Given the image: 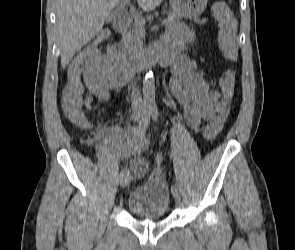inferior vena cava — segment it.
Returning <instances> with one entry per match:
<instances>
[{"instance_id": "inferior-vena-cava-1", "label": "inferior vena cava", "mask_w": 295, "mask_h": 250, "mask_svg": "<svg viewBox=\"0 0 295 250\" xmlns=\"http://www.w3.org/2000/svg\"><path fill=\"white\" fill-rule=\"evenodd\" d=\"M131 108L133 116L139 117L143 111V100L140 96L138 88L133 86L131 95Z\"/></svg>"}]
</instances>
